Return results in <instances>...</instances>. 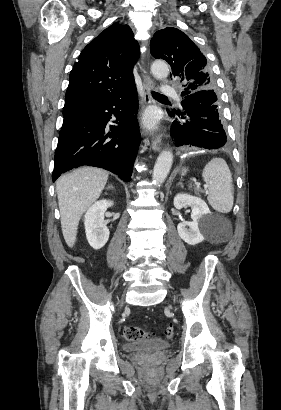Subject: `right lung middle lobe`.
<instances>
[{
    "instance_id": "obj_1",
    "label": "right lung middle lobe",
    "mask_w": 281,
    "mask_h": 410,
    "mask_svg": "<svg viewBox=\"0 0 281 410\" xmlns=\"http://www.w3.org/2000/svg\"><path fill=\"white\" fill-rule=\"evenodd\" d=\"M86 108H70V109H63V117H64V122L68 121L78 114H80L83 110Z\"/></svg>"
}]
</instances>
